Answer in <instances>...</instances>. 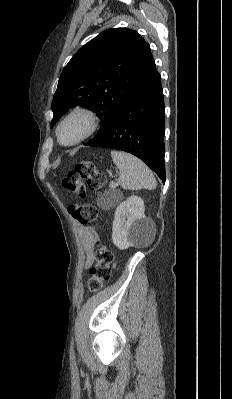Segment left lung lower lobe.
Returning <instances> with one entry per match:
<instances>
[{"mask_svg":"<svg viewBox=\"0 0 232 399\" xmlns=\"http://www.w3.org/2000/svg\"><path fill=\"white\" fill-rule=\"evenodd\" d=\"M165 105L161 76L150 52L139 78L108 130L88 146L126 151L145 162L165 182Z\"/></svg>","mask_w":232,"mask_h":399,"instance_id":"left-lung-lower-lobe-1","label":"left lung lower lobe"}]
</instances>
